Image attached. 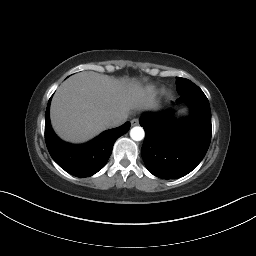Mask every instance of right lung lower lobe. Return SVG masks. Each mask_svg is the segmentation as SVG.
<instances>
[{"label":"right lung lower lobe","mask_w":256,"mask_h":256,"mask_svg":"<svg viewBox=\"0 0 256 256\" xmlns=\"http://www.w3.org/2000/svg\"><path fill=\"white\" fill-rule=\"evenodd\" d=\"M50 101L51 98L45 113V141L51 157L69 174L78 177L94 175L104 167L116 139L129 130L130 122L107 130L86 144L72 145L60 140L53 132L49 120Z\"/></svg>","instance_id":"right-lung-lower-lobe-1"}]
</instances>
